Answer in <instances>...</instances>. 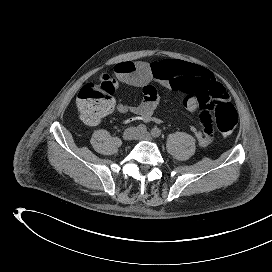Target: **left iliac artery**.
<instances>
[{
    "label": "left iliac artery",
    "instance_id": "obj_1",
    "mask_svg": "<svg viewBox=\"0 0 272 272\" xmlns=\"http://www.w3.org/2000/svg\"><path fill=\"white\" fill-rule=\"evenodd\" d=\"M151 134L154 137H159L161 135V130L159 128L155 127L151 130Z\"/></svg>",
    "mask_w": 272,
    "mask_h": 272
}]
</instances>
